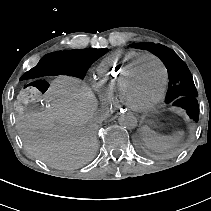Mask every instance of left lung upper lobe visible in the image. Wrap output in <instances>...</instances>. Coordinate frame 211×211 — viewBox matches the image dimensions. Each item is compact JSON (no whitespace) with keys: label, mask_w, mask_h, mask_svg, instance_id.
<instances>
[{"label":"left lung upper lobe","mask_w":211,"mask_h":211,"mask_svg":"<svg viewBox=\"0 0 211 211\" xmlns=\"http://www.w3.org/2000/svg\"><path fill=\"white\" fill-rule=\"evenodd\" d=\"M130 47L146 49L158 56L168 70L169 86L165 102L182 107L194 121L199 118L198 96L193 77L187 65L170 48L161 44L136 43Z\"/></svg>","instance_id":"1"}]
</instances>
